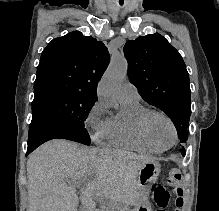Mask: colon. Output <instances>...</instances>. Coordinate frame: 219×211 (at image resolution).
Instances as JSON below:
<instances>
[{
    "label": "colon",
    "instance_id": "5ec220e1",
    "mask_svg": "<svg viewBox=\"0 0 219 211\" xmlns=\"http://www.w3.org/2000/svg\"><path fill=\"white\" fill-rule=\"evenodd\" d=\"M167 183L172 187V192L175 195V211H180L183 206L184 188L182 186V175L180 171L172 169L168 172L166 177Z\"/></svg>",
    "mask_w": 219,
    "mask_h": 211
}]
</instances>
